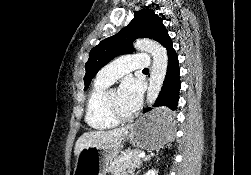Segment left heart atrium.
<instances>
[{
    "mask_svg": "<svg viewBox=\"0 0 251 175\" xmlns=\"http://www.w3.org/2000/svg\"><path fill=\"white\" fill-rule=\"evenodd\" d=\"M143 86L140 80L127 77L119 88V101L127 113H135L142 101Z\"/></svg>",
    "mask_w": 251,
    "mask_h": 175,
    "instance_id": "1",
    "label": "left heart atrium"
}]
</instances>
